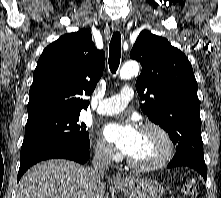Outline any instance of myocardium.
I'll list each match as a JSON object with an SVG mask.
<instances>
[{
    "label": "myocardium",
    "instance_id": "myocardium-1",
    "mask_svg": "<svg viewBox=\"0 0 221 198\" xmlns=\"http://www.w3.org/2000/svg\"><path fill=\"white\" fill-rule=\"evenodd\" d=\"M141 131L155 132L163 141V144H164L163 152L158 159H156L155 161H153L151 163H146V164L138 163V162L132 160L128 156L127 157V164L131 168H133L137 171H141V172L154 171V170H158V169L164 167L170 161V159L173 155V151H174V144H173V141H172L170 135L163 127H161L160 125L155 124V123L144 124L141 127Z\"/></svg>",
    "mask_w": 221,
    "mask_h": 198
}]
</instances>
